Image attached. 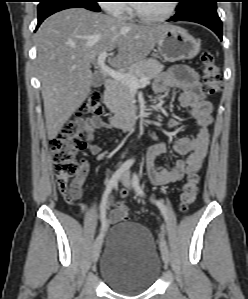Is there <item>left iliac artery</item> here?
<instances>
[{"mask_svg":"<svg viewBox=\"0 0 248 299\" xmlns=\"http://www.w3.org/2000/svg\"><path fill=\"white\" fill-rule=\"evenodd\" d=\"M132 185L139 195L143 197L145 196L143 190L140 187L139 179L136 173L133 174ZM152 201L157 205V207L160 209L164 217L167 218L165 205L161 201H157V200H152Z\"/></svg>","mask_w":248,"mask_h":299,"instance_id":"obj_1","label":"left iliac artery"}]
</instances>
